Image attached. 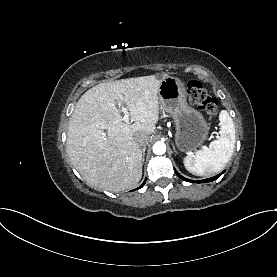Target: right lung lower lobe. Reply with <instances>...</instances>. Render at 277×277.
Listing matches in <instances>:
<instances>
[{"label": "right lung lower lobe", "instance_id": "98d812e1", "mask_svg": "<svg viewBox=\"0 0 277 277\" xmlns=\"http://www.w3.org/2000/svg\"><path fill=\"white\" fill-rule=\"evenodd\" d=\"M145 182H146V180L143 182V184L139 188H141L145 184ZM139 188H137V189H139Z\"/></svg>", "mask_w": 277, "mask_h": 277}]
</instances>
